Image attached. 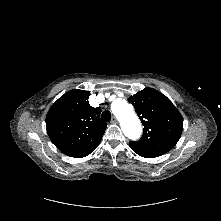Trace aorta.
<instances>
[{"mask_svg":"<svg viewBox=\"0 0 221 221\" xmlns=\"http://www.w3.org/2000/svg\"><path fill=\"white\" fill-rule=\"evenodd\" d=\"M111 110L119 120L123 133L129 139H138L141 135L142 128L132 105L122 98H116L111 103Z\"/></svg>","mask_w":221,"mask_h":221,"instance_id":"1","label":"aorta"}]
</instances>
